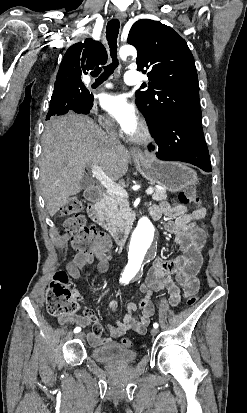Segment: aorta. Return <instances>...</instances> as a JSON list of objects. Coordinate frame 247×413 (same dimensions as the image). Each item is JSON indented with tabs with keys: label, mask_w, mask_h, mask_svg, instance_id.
<instances>
[{
	"label": "aorta",
	"mask_w": 247,
	"mask_h": 413,
	"mask_svg": "<svg viewBox=\"0 0 247 413\" xmlns=\"http://www.w3.org/2000/svg\"><path fill=\"white\" fill-rule=\"evenodd\" d=\"M119 56L125 60L128 56L135 58L136 49L131 45L122 46L119 50ZM154 235V227L147 217H142L138 221V226L133 234L134 246L129 256L128 270L135 274L143 261L144 255Z\"/></svg>",
	"instance_id": "aorta-1"
}]
</instances>
